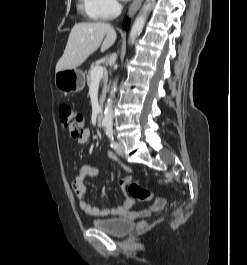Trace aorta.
<instances>
[{"instance_id": "762f6f07", "label": "aorta", "mask_w": 247, "mask_h": 265, "mask_svg": "<svg viewBox=\"0 0 247 265\" xmlns=\"http://www.w3.org/2000/svg\"><path fill=\"white\" fill-rule=\"evenodd\" d=\"M150 10H151V2L150 0H147V3L143 5L141 13L138 15V17L136 18L131 28L130 40L132 43L141 34ZM116 89H117V83L114 82L113 88L110 92V97L107 100V104H106L105 111H104L103 124L106 126H110L113 122L112 98H113L114 93L116 92Z\"/></svg>"}]
</instances>
